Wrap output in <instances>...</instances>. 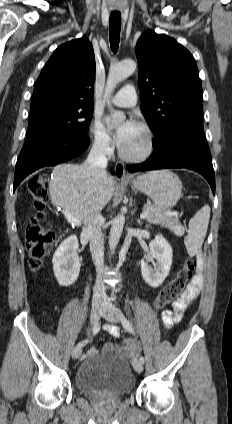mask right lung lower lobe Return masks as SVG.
<instances>
[{"mask_svg":"<svg viewBox=\"0 0 232 424\" xmlns=\"http://www.w3.org/2000/svg\"><path fill=\"white\" fill-rule=\"evenodd\" d=\"M89 145L87 135L38 131L27 135L18 157L14 190L29 174L44 166H54L79 156Z\"/></svg>","mask_w":232,"mask_h":424,"instance_id":"right-lung-lower-lobe-1","label":"right lung lower lobe"}]
</instances>
